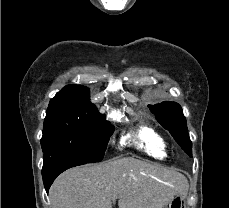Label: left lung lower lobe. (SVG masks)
Listing matches in <instances>:
<instances>
[{"mask_svg":"<svg viewBox=\"0 0 229 208\" xmlns=\"http://www.w3.org/2000/svg\"><path fill=\"white\" fill-rule=\"evenodd\" d=\"M185 152L190 156L192 157V149H186Z\"/></svg>","mask_w":229,"mask_h":208,"instance_id":"obj_1","label":"left lung lower lobe"}]
</instances>
